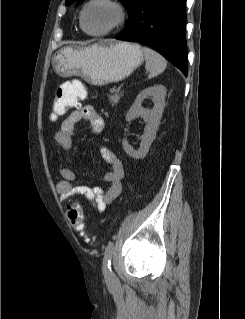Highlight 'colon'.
Instances as JSON below:
<instances>
[{
  "mask_svg": "<svg viewBox=\"0 0 245 319\" xmlns=\"http://www.w3.org/2000/svg\"><path fill=\"white\" fill-rule=\"evenodd\" d=\"M84 97L83 86L75 91H64L61 88L56 94L54 101V113L57 116L66 114L71 108L78 107L80 100ZM67 216L73 228L83 233L85 228L84 213L81 205L77 202H71L67 206Z\"/></svg>",
  "mask_w": 245,
  "mask_h": 319,
  "instance_id": "obj_1",
  "label": "colon"
}]
</instances>
